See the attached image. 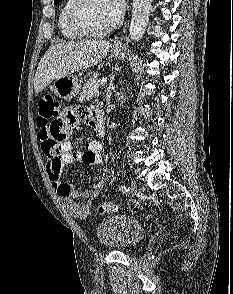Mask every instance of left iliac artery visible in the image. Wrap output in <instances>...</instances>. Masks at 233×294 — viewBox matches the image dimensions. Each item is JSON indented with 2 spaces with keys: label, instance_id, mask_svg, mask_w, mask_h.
I'll return each instance as SVG.
<instances>
[{
  "label": "left iliac artery",
  "instance_id": "1",
  "mask_svg": "<svg viewBox=\"0 0 233 294\" xmlns=\"http://www.w3.org/2000/svg\"><path fill=\"white\" fill-rule=\"evenodd\" d=\"M121 190L124 192H128L129 191V187L121 185Z\"/></svg>",
  "mask_w": 233,
  "mask_h": 294
}]
</instances>
